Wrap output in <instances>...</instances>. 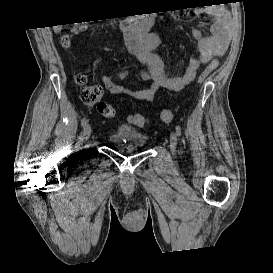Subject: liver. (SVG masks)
<instances>
[{"instance_id":"1","label":"liver","mask_w":273,"mask_h":273,"mask_svg":"<svg viewBox=\"0 0 273 273\" xmlns=\"http://www.w3.org/2000/svg\"><path fill=\"white\" fill-rule=\"evenodd\" d=\"M61 30V25H58V26H55L54 27V31L57 32V31H60Z\"/></svg>"}]
</instances>
